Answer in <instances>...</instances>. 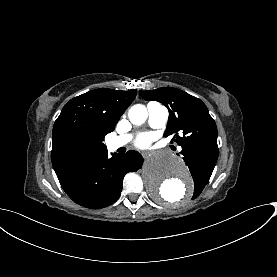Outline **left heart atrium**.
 Returning <instances> with one entry per match:
<instances>
[{"mask_svg": "<svg viewBox=\"0 0 277 277\" xmlns=\"http://www.w3.org/2000/svg\"><path fill=\"white\" fill-rule=\"evenodd\" d=\"M135 144L140 149H148L151 144V137L148 134H142L138 137Z\"/></svg>", "mask_w": 277, "mask_h": 277, "instance_id": "left-heart-atrium-1", "label": "left heart atrium"}]
</instances>
